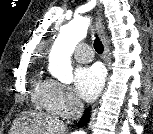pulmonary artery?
Instances as JSON below:
<instances>
[{"instance_id": "e3ab8cb5", "label": "pulmonary artery", "mask_w": 153, "mask_h": 134, "mask_svg": "<svg viewBox=\"0 0 153 134\" xmlns=\"http://www.w3.org/2000/svg\"><path fill=\"white\" fill-rule=\"evenodd\" d=\"M74 56L79 62H89L92 60L91 48L86 43L79 44L74 51Z\"/></svg>"}]
</instances>
